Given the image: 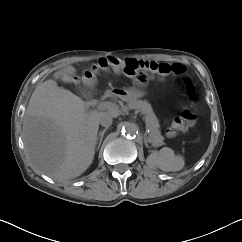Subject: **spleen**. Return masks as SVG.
Here are the masks:
<instances>
[{
  "instance_id": "spleen-1",
  "label": "spleen",
  "mask_w": 242,
  "mask_h": 242,
  "mask_svg": "<svg viewBox=\"0 0 242 242\" xmlns=\"http://www.w3.org/2000/svg\"><path fill=\"white\" fill-rule=\"evenodd\" d=\"M177 160H181L179 156H175L170 148H162L159 152L152 153L148 158V163L157 165L163 171H175Z\"/></svg>"
}]
</instances>
